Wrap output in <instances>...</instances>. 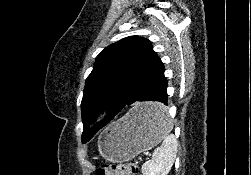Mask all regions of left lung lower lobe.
I'll list each match as a JSON object with an SVG mask.
<instances>
[{
	"label": "left lung lower lobe",
	"mask_w": 251,
	"mask_h": 175,
	"mask_svg": "<svg viewBox=\"0 0 251 175\" xmlns=\"http://www.w3.org/2000/svg\"><path fill=\"white\" fill-rule=\"evenodd\" d=\"M164 65L160 63L147 73L135 86L129 99L121 105H106L108 117L103 119L105 126L116 116L126 115L127 117L140 121H161L168 115L167 80L164 76ZM153 101V104H140L138 102ZM105 107L93 112L92 119L95 120L98 113Z\"/></svg>",
	"instance_id": "1"
}]
</instances>
